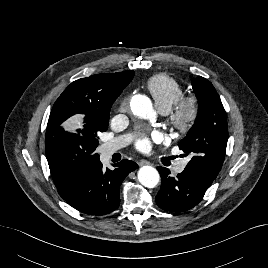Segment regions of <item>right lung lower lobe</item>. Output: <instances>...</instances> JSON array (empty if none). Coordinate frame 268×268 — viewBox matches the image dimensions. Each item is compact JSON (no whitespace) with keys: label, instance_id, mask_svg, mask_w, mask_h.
Listing matches in <instances>:
<instances>
[{"label":"right lung lower lobe","instance_id":"98d812e1","mask_svg":"<svg viewBox=\"0 0 268 268\" xmlns=\"http://www.w3.org/2000/svg\"><path fill=\"white\" fill-rule=\"evenodd\" d=\"M113 166V170L103 169L100 160L94 162L63 199L89 215H105L116 210L120 204V185L138 165L122 160Z\"/></svg>","mask_w":268,"mask_h":268}]
</instances>
